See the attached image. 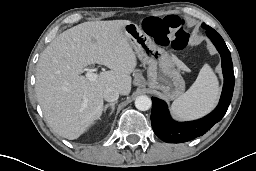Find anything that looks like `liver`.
Instances as JSON below:
<instances>
[{
  "instance_id": "liver-1",
  "label": "liver",
  "mask_w": 256,
  "mask_h": 171,
  "mask_svg": "<svg viewBox=\"0 0 256 171\" xmlns=\"http://www.w3.org/2000/svg\"><path fill=\"white\" fill-rule=\"evenodd\" d=\"M128 20L91 21L59 34L41 53L36 69V94L51 129L74 140L86 132L103 111V93L113 87L131 91L130 74L137 59L123 27ZM102 64L110 70L90 81L83 68ZM177 65L184 69L181 62Z\"/></svg>"
}]
</instances>
